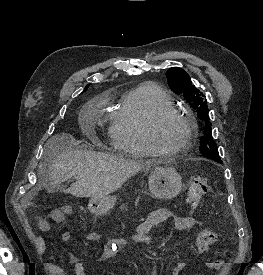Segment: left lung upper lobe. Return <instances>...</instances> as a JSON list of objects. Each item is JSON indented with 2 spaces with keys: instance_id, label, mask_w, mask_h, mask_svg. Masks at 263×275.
Returning a JSON list of instances; mask_svg holds the SVG:
<instances>
[{
  "instance_id": "obj_1",
  "label": "left lung upper lobe",
  "mask_w": 263,
  "mask_h": 275,
  "mask_svg": "<svg viewBox=\"0 0 263 275\" xmlns=\"http://www.w3.org/2000/svg\"><path fill=\"white\" fill-rule=\"evenodd\" d=\"M168 85L176 94H182L189 105L196 110L197 116L204 122L203 136L200 138L199 150L204 157L213 159L216 162H222L217 145L212 137L210 126L209 109L205 97L191 82L189 75L185 70L178 67L170 68L166 72Z\"/></svg>"
}]
</instances>
